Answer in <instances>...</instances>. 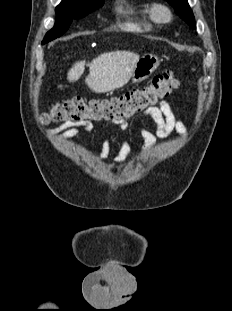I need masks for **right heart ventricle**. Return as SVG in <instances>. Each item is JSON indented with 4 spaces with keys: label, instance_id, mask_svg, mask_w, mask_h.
I'll return each instance as SVG.
<instances>
[{
    "label": "right heart ventricle",
    "instance_id": "obj_1",
    "mask_svg": "<svg viewBox=\"0 0 232 311\" xmlns=\"http://www.w3.org/2000/svg\"><path fill=\"white\" fill-rule=\"evenodd\" d=\"M117 10L123 17V29L137 33H149L154 30L156 22L151 16L150 6L120 2Z\"/></svg>",
    "mask_w": 232,
    "mask_h": 311
}]
</instances>
